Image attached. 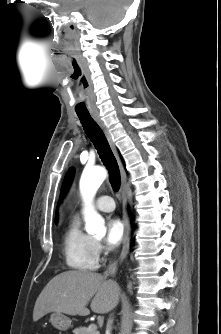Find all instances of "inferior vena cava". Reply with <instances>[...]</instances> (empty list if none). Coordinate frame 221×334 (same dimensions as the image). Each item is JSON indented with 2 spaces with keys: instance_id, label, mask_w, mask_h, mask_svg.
<instances>
[{
  "instance_id": "inferior-vena-cava-1",
  "label": "inferior vena cava",
  "mask_w": 221,
  "mask_h": 334,
  "mask_svg": "<svg viewBox=\"0 0 221 334\" xmlns=\"http://www.w3.org/2000/svg\"><path fill=\"white\" fill-rule=\"evenodd\" d=\"M116 263H113L111 265H109V267L107 268V270L104 272V275L105 277L109 276V275H114L115 272H116ZM112 322H113V319L110 317L108 319V322H107V329H111L112 328Z\"/></svg>"
}]
</instances>
